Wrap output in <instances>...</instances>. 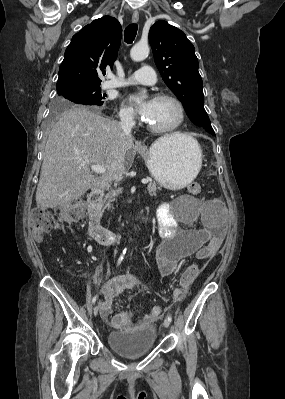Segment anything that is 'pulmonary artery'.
<instances>
[{
    "label": "pulmonary artery",
    "mask_w": 285,
    "mask_h": 399,
    "mask_svg": "<svg viewBox=\"0 0 285 399\" xmlns=\"http://www.w3.org/2000/svg\"><path fill=\"white\" fill-rule=\"evenodd\" d=\"M156 77L153 70L149 66H143L125 79H110L105 82V88H116L126 85L144 84L150 85L155 83Z\"/></svg>",
    "instance_id": "e3ab8cb5"
}]
</instances>
